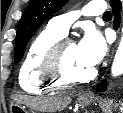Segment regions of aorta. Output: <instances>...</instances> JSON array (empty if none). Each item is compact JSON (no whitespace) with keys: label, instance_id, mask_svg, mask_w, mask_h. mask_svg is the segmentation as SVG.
Here are the masks:
<instances>
[{"label":"aorta","instance_id":"1","mask_svg":"<svg viewBox=\"0 0 123 113\" xmlns=\"http://www.w3.org/2000/svg\"><path fill=\"white\" fill-rule=\"evenodd\" d=\"M111 73L113 76H119L123 74V35L111 67Z\"/></svg>","mask_w":123,"mask_h":113}]
</instances>
